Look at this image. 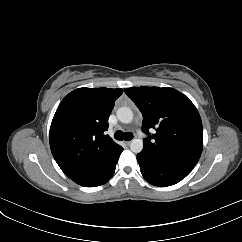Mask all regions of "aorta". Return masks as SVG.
<instances>
[{"label": "aorta", "mask_w": 242, "mask_h": 242, "mask_svg": "<svg viewBox=\"0 0 242 242\" xmlns=\"http://www.w3.org/2000/svg\"><path fill=\"white\" fill-rule=\"evenodd\" d=\"M116 114L118 120L126 124L131 123L134 118L133 111L128 107H120ZM130 149L134 153L141 152L143 149V141L141 139H133L130 144Z\"/></svg>", "instance_id": "aorta-1"}]
</instances>
